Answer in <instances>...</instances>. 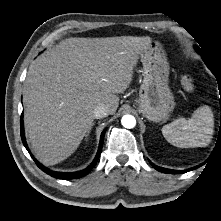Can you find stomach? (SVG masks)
<instances>
[{
  "mask_svg": "<svg viewBox=\"0 0 221 221\" xmlns=\"http://www.w3.org/2000/svg\"><path fill=\"white\" fill-rule=\"evenodd\" d=\"M143 81L137 100L138 109L150 121L166 120L174 109V96L169 88V70L166 53L161 44L153 41L142 55Z\"/></svg>",
  "mask_w": 221,
  "mask_h": 221,
  "instance_id": "obj_1",
  "label": "stomach"
}]
</instances>
